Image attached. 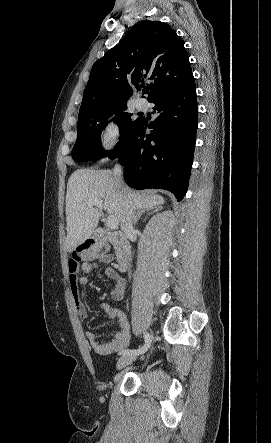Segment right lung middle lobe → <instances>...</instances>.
I'll list each match as a JSON object with an SVG mask.
<instances>
[{"instance_id": "dd1d6c3e", "label": "right lung middle lobe", "mask_w": 271, "mask_h": 443, "mask_svg": "<svg viewBox=\"0 0 271 443\" xmlns=\"http://www.w3.org/2000/svg\"><path fill=\"white\" fill-rule=\"evenodd\" d=\"M126 110L127 106H123L100 117L80 118L77 123V140L71 152L72 158L81 162L95 161L104 156L100 135L111 118L119 126L121 132L119 142L109 153L111 158H115L124 137L140 121V118L133 120Z\"/></svg>"}]
</instances>
